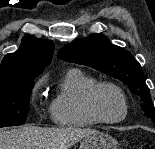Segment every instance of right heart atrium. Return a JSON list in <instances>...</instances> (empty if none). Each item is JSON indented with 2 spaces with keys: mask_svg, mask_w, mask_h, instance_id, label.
<instances>
[{
  "mask_svg": "<svg viewBox=\"0 0 155 149\" xmlns=\"http://www.w3.org/2000/svg\"><path fill=\"white\" fill-rule=\"evenodd\" d=\"M39 85H36L34 90H33V95L37 92Z\"/></svg>",
  "mask_w": 155,
  "mask_h": 149,
  "instance_id": "d8ad5b80",
  "label": "right heart atrium"
}]
</instances>
